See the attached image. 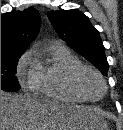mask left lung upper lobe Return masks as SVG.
<instances>
[{"mask_svg": "<svg viewBox=\"0 0 123 130\" xmlns=\"http://www.w3.org/2000/svg\"><path fill=\"white\" fill-rule=\"evenodd\" d=\"M48 18L59 36L107 76L109 64L99 32L78 10L50 11Z\"/></svg>", "mask_w": 123, "mask_h": 130, "instance_id": "5c2ea615", "label": "left lung upper lobe"}]
</instances>
